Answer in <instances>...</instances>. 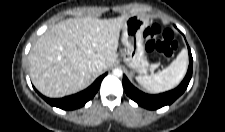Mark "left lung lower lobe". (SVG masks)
Listing matches in <instances>:
<instances>
[{
    "label": "left lung lower lobe",
    "mask_w": 225,
    "mask_h": 132,
    "mask_svg": "<svg viewBox=\"0 0 225 132\" xmlns=\"http://www.w3.org/2000/svg\"><path fill=\"white\" fill-rule=\"evenodd\" d=\"M189 50V67L187 74L184 78V80L181 82V84L175 88L174 90L158 94V95H149L145 94L141 91H139L137 88H135L127 79V77L123 76V87L125 89L126 94L134 100L136 103H138L140 106L154 110L161 108L165 105H170L173 103L180 95L183 94V92L186 90L190 79L192 77V69H193V58L191 55V51Z\"/></svg>",
    "instance_id": "left-lung-lower-lobe-1"
}]
</instances>
